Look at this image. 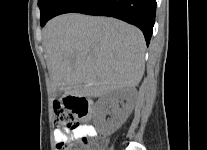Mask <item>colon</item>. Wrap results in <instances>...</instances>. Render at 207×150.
<instances>
[{
  "label": "colon",
  "instance_id": "5ec220e1",
  "mask_svg": "<svg viewBox=\"0 0 207 150\" xmlns=\"http://www.w3.org/2000/svg\"><path fill=\"white\" fill-rule=\"evenodd\" d=\"M88 111V100L71 97L54 103L53 123L56 127L76 129L85 126ZM102 139L80 138L78 140L66 139L57 143L58 150H102Z\"/></svg>",
  "mask_w": 207,
  "mask_h": 150
}]
</instances>
